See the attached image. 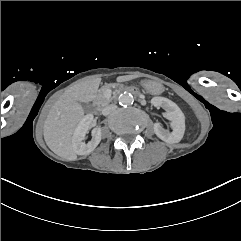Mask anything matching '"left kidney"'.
I'll list each match as a JSON object with an SVG mask.
<instances>
[{
	"mask_svg": "<svg viewBox=\"0 0 241 241\" xmlns=\"http://www.w3.org/2000/svg\"><path fill=\"white\" fill-rule=\"evenodd\" d=\"M155 107H161L165 110L164 116L169 121L171 132L169 133L158 123L153 126L155 135L168 144L179 143L184 135L185 123L184 116L175 103L169 99L162 97H155L151 100Z\"/></svg>",
	"mask_w": 241,
	"mask_h": 241,
	"instance_id": "5707ae66",
	"label": "left kidney"
}]
</instances>
